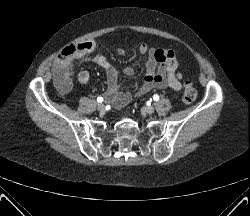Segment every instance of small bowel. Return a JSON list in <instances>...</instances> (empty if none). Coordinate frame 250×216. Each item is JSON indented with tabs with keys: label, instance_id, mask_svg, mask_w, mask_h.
<instances>
[{
	"label": "small bowel",
	"instance_id": "c3829d8e",
	"mask_svg": "<svg viewBox=\"0 0 250 216\" xmlns=\"http://www.w3.org/2000/svg\"><path fill=\"white\" fill-rule=\"evenodd\" d=\"M74 57L81 59L85 56L92 54L96 48L94 41H85L77 44ZM139 52L148 55L146 64V76L143 83L135 91L136 96H142L152 89L171 88L179 91L182 88L183 75L179 70V62L175 54L171 50L155 49L150 47L147 43L142 42L139 44ZM120 54H124V50L120 48ZM93 61L103 69L107 81V98L117 107H124L132 97V94L120 90V80L118 72L109 63L106 57L102 55H94ZM127 76H132L134 71L132 68L124 69ZM90 75L87 71L83 70L78 73V81L85 84L89 81ZM56 85L59 91L63 94L71 90V82L68 77L64 75L60 64L58 63Z\"/></svg>",
	"mask_w": 250,
	"mask_h": 216
}]
</instances>
